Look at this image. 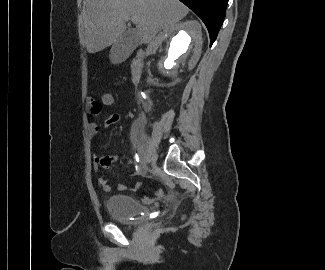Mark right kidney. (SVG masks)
I'll list each match as a JSON object with an SVG mask.
<instances>
[{"instance_id":"right-kidney-1","label":"right kidney","mask_w":325,"mask_h":270,"mask_svg":"<svg viewBox=\"0 0 325 270\" xmlns=\"http://www.w3.org/2000/svg\"><path fill=\"white\" fill-rule=\"evenodd\" d=\"M157 41L159 58L150 67L157 77L149 76L147 82L154 86L173 87L181 83L184 74L195 67L201 56V26L194 20L178 23L162 31Z\"/></svg>"}]
</instances>
